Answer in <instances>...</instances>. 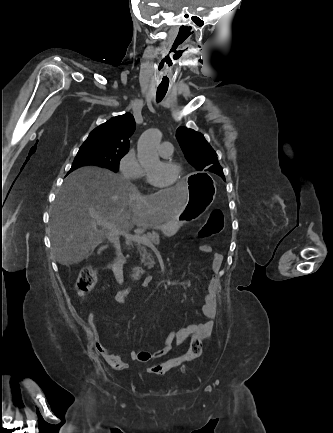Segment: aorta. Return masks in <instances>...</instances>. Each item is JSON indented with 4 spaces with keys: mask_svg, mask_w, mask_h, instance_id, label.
Listing matches in <instances>:
<instances>
[{
    "mask_svg": "<svg viewBox=\"0 0 333 433\" xmlns=\"http://www.w3.org/2000/svg\"><path fill=\"white\" fill-rule=\"evenodd\" d=\"M162 139L159 129L146 130L138 141V160L143 167H152L160 164L157 147Z\"/></svg>",
    "mask_w": 333,
    "mask_h": 433,
    "instance_id": "aorta-1",
    "label": "aorta"
}]
</instances>
